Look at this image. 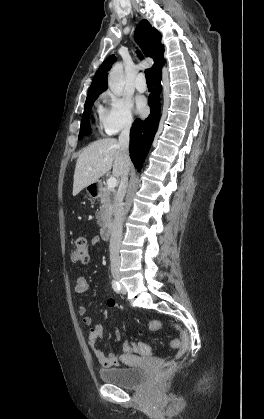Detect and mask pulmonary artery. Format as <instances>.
<instances>
[{
    "mask_svg": "<svg viewBox=\"0 0 264 419\" xmlns=\"http://www.w3.org/2000/svg\"><path fill=\"white\" fill-rule=\"evenodd\" d=\"M135 87L139 92H144L147 89L144 74H139L135 80Z\"/></svg>",
    "mask_w": 264,
    "mask_h": 419,
    "instance_id": "1",
    "label": "pulmonary artery"
}]
</instances>
